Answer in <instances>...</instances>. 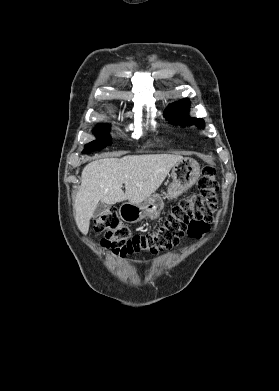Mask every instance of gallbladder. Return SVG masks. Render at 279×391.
Segmentation results:
<instances>
[{"label":"gallbladder","mask_w":279,"mask_h":391,"mask_svg":"<svg viewBox=\"0 0 279 391\" xmlns=\"http://www.w3.org/2000/svg\"><path fill=\"white\" fill-rule=\"evenodd\" d=\"M107 204L105 203H98L97 207L95 208L94 210V213H93V218H97L101 215H103L105 213V211L107 210Z\"/></svg>","instance_id":"obj_1"}]
</instances>
